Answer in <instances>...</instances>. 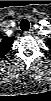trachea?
Returning a JSON list of instances; mask_svg holds the SVG:
<instances>
[{"instance_id": "trachea-1", "label": "trachea", "mask_w": 51, "mask_h": 101, "mask_svg": "<svg viewBox=\"0 0 51 101\" xmlns=\"http://www.w3.org/2000/svg\"><path fill=\"white\" fill-rule=\"evenodd\" d=\"M20 28L23 30V31H28L29 28H30V23L27 19H23L21 22H20Z\"/></svg>"}]
</instances>
